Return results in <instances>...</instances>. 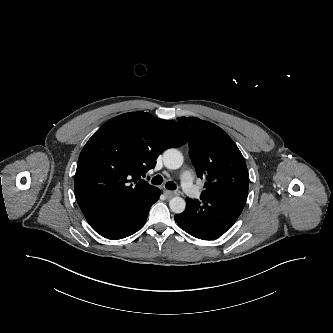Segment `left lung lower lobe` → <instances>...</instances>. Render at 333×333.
I'll list each match as a JSON object with an SVG mask.
<instances>
[{"instance_id": "0a47b994", "label": "left lung lower lobe", "mask_w": 333, "mask_h": 333, "mask_svg": "<svg viewBox=\"0 0 333 333\" xmlns=\"http://www.w3.org/2000/svg\"><path fill=\"white\" fill-rule=\"evenodd\" d=\"M248 195V183L221 187L201 200L186 198V209L176 214L178 225L190 235L212 240L224 234L241 214Z\"/></svg>"}]
</instances>
